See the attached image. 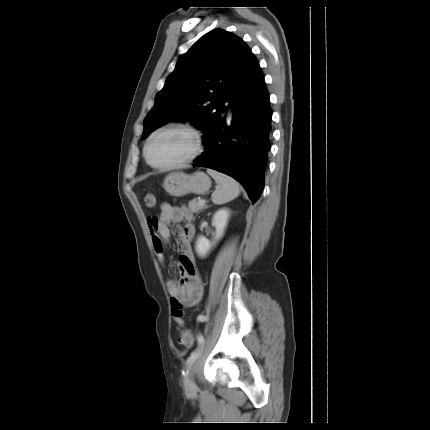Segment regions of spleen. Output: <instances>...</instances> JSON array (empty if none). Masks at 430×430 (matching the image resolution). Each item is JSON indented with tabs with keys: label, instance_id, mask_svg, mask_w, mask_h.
Wrapping results in <instances>:
<instances>
[{
	"label": "spleen",
	"instance_id": "3e777b00",
	"mask_svg": "<svg viewBox=\"0 0 430 430\" xmlns=\"http://www.w3.org/2000/svg\"><path fill=\"white\" fill-rule=\"evenodd\" d=\"M207 173L218 184V188L212 193L214 204H225L239 196L240 185L234 178L213 169H207Z\"/></svg>",
	"mask_w": 430,
	"mask_h": 430
}]
</instances>
